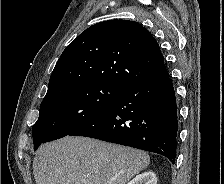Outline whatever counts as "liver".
Wrapping results in <instances>:
<instances>
[{"label": "liver", "mask_w": 224, "mask_h": 184, "mask_svg": "<svg viewBox=\"0 0 224 184\" xmlns=\"http://www.w3.org/2000/svg\"><path fill=\"white\" fill-rule=\"evenodd\" d=\"M149 163L141 150L66 136L38 149L33 174L36 184H126Z\"/></svg>", "instance_id": "6515ba94"}]
</instances>
